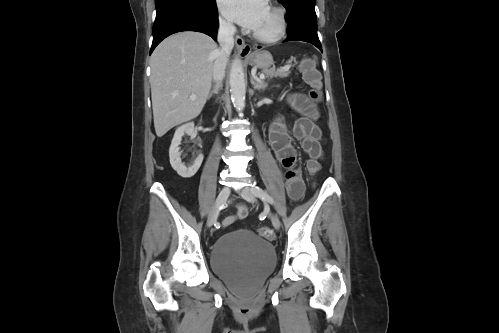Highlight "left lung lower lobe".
I'll return each mask as SVG.
<instances>
[{
    "mask_svg": "<svg viewBox=\"0 0 499 333\" xmlns=\"http://www.w3.org/2000/svg\"><path fill=\"white\" fill-rule=\"evenodd\" d=\"M315 5L295 3L288 8V37L285 41H305L315 45L322 51L321 43L317 34V20Z\"/></svg>",
    "mask_w": 499,
    "mask_h": 333,
    "instance_id": "1",
    "label": "left lung lower lobe"
}]
</instances>
